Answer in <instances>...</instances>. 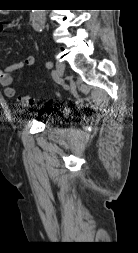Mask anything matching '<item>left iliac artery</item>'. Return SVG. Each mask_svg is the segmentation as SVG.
<instances>
[{"label":"left iliac artery","instance_id":"left-iliac-artery-1","mask_svg":"<svg viewBox=\"0 0 138 253\" xmlns=\"http://www.w3.org/2000/svg\"><path fill=\"white\" fill-rule=\"evenodd\" d=\"M46 67H47L48 69H51V68L53 67V63H52L51 61L47 62V63H46Z\"/></svg>","mask_w":138,"mask_h":253}]
</instances>
